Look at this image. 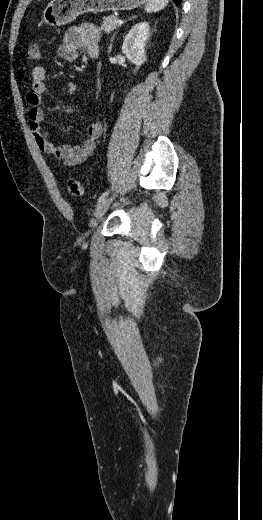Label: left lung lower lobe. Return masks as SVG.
Wrapping results in <instances>:
<instances>
[{"instance_id":"left-lung-lower-lobe-1","label":"left lung lower lobe","mask_w":263,"mask_h":520,"mask_svg":"<svg viewBox=\"0 0 263 520\" xmlns=\"http://www.w3.org/2000/svg\"><path fill=\"white\" fill-rule=\"evenodd\" d=\"M173 1L176 3V5H178V4H180V2H181L182 0H173Z\"/></svg>"}]
</instances>
